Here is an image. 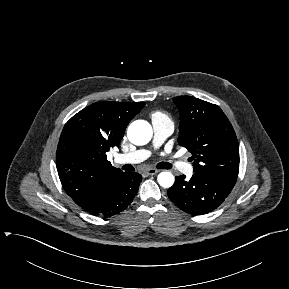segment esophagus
I'll return each instance as SVG.
<instances>
[{
	"label": "esophagus",
	"instance_id": "esophagus-1",
	"mask_svg": "<svg viewBox=\"0 0 289 289\" xmlns=\"http://www.w3.org/2000/svg\"><path fill=\"white\" fill-rule=\"evenodd\" d=\"M159 171L157 170V169H153V168H150V169H147L146 171H145V173L147 174V175H156L157 173H158Z\"/></svg>",
	"mask_w": 289,
	"mask_h": 289
}]
</instances>
